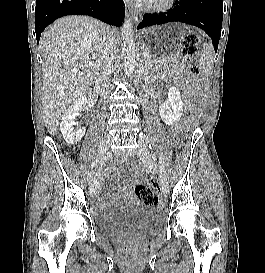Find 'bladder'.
Masks as SVG:
<instances>
[{
    "label": "bladder",
    "mask_w": 265,
    "mask_h": 273,
    "mask_svg": "<svg viewBox=\"0 0 265 273\" xmlns=\"http://www.w3.org/2000/svg\"><path fill=\"white\" fill-rule=\"evenodd\" d=\"M97 225L100 232L107 236H116L132 229L154 233L160 230L162 219L154 207L133 206L120 212L98 216Z\"/></svg>",
    "instance_id": "obj_1"
}]
</instances>
